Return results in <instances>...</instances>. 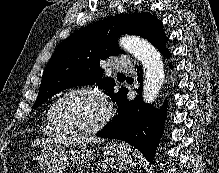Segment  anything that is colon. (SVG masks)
Wrapping results in <instances>:
<instances>
[{
  "label": "colon",
  "mask_w": 219,
  "mask_h": 173,
  "mask_svg": "<svg viewBox=\"0 0 219 173\" xmlns=\"http://www.w3.org/2000/svg\"><path fill=\"white\" fill-rule=\"evenodd\" d=\"M28 173H37V172H35V171L32 170V171H29Z\"/></svg>",
  "instance_id": "5ec220e1"
}]
</instances>
